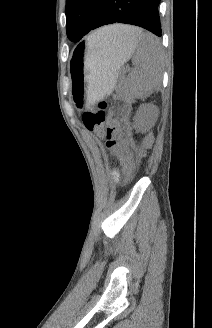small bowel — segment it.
Segmentation results:
<instances>
[{"mask_svg": "<svg viewBox=\"0 0 212 328\" xmlns=\"http://www.w3.org/2000/svg\"><path fill=\"white\" fill-rule=\"evenodd\" d=\"M113 179H114L115 181L118 180V172H117V171H114V172H113Z\"/></svg>", "mask_w": 212, "mask_h": 328, "instance_id": "obj_1", "label": "small bowel"}]
</instances>
